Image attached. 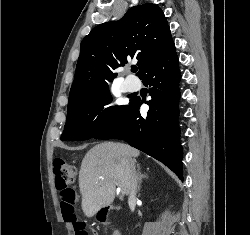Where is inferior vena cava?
Returning a JSON list of instances; mask_svg holds the SVG:
<instances>
[{"mask_svg": "<svg viewBox=\"0 0 250 235\" xmlns=\"http://www.w3.org/2000/svg\"><path fill=\"white\" fill-rule=\"evenodd\" d=\"M138 175L135 171V166L133 165L130 170V195L129 199L133 200L136 198Z\"/></svg>", "mask_w": 250, "mask_h": 235, "instance_id": "inferior-vena-cava-1", "label": "inferior vena cava"}]
</instances>
